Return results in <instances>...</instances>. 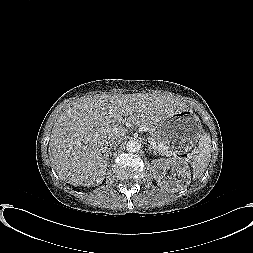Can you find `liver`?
Returning a JSON list of instances; mask_svg holds the SVG:
<instances>
[{"instance_id": "obj_1", "label": "liver", "mask_w": 253, "mask_h": 253, "mask_svg": "<svg viewBox=\"0 0 253 253\" xmlns=\"http://www.w3.org/2000/svg\"><path fill=\"white\" fill-rule=\"evenodd\" d=\"M187 105L170 94H112L86 96L68 105L57 118L49 142V158L58 175L81 186L105 178L110 143L122 140L134 125L153 126Z\"/></svg>"}]
</instances>
